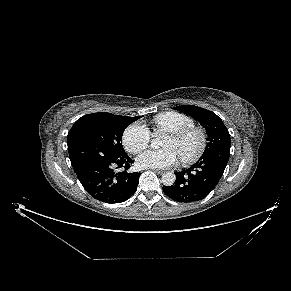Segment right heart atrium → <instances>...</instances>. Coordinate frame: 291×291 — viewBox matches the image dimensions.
<instances>
[{
    "instance_id": "d8ad5b80",
    "label": "right heart atrium",
    "mask_w": 291,
    "mask_h": 291,
    "mask_svg": "<svg viewBox=\"0 0 291 291\" xmlns=\"http://www.w3.org/2000/svg\"><path fill=\"white\" fill-rule=\"evenodd\" d=\"M151 141L149 128L142 123H134L126 128L123 133V144L132 154H137L145 149Z\"/></svg>"
}]
</instances>
